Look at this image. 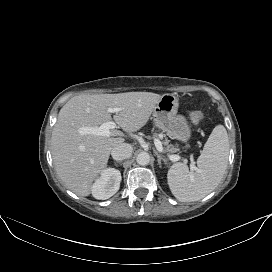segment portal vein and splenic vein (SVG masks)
<instances>
[{
	"mask_svg": "<svg viewBox=\"0 0 272 272\" xmlns=\"http://www.w3.org/2000/svg\"><path fill=\"white\" fill-rule=\"evenodd\" d=\"M119 108H108V112L110 113H117L119 112ZM116 124L113 121H108L103 124H101L99 127H85L80 129V132L82 133H87V134H93V135H100V136H109L110 135V130L115 129ZM155 147L159 152H164L162 143L159 139H155L154 141ZM169 159L171 161H178L180 157L178 155H170ZM191 170H196V166L194 162H191Z\"/></svg>",
	"mask_w": 272,
	"mask_h": 272,
	"instance_id": "1",
	"label": "portal vein and splenic vein"
}]
</instances>
